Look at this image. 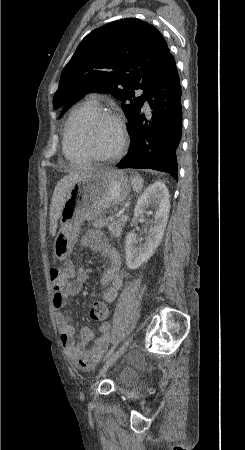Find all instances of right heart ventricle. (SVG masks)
Returning a JSON list of instances; mask_svg holds the SVG:
<instances>
[{
  "instance_id": "right-heart-ventricle-1",
  "label": "right heart ventricle",
  "mask_w": 245,
  "mask_h": 450,
  "mask_svg": "<svg viewBox=\"0 0 245 450\" xmlns=\"http://www.w3.org/2000/svg\"><path fill=\"white\" fill-rule=\"evenodd\" d=\"M95 109H98L96 101L88 98L75 105L70 113L63 134V152L68 159L74 162L83 163L86 162L88 158L73 145L71 137V121L81 119Z\"/></svg>"
}]
</instances>
